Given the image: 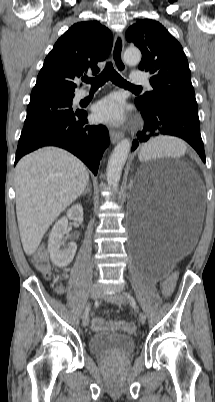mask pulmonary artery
Instances as JSON below:
<instances>
[{"instance_id": "1", "label": "pulmonary artery", "mask_w": 215, "mask_h": 402, "mask_svg": "<svg viewBox=\"0 0 215 402\" xmlns=\"http://www.w3.org/2000/svg\"><path fill=\"white\" fill-rule=\"evenodd\" d=\"M131 83H133V84H144V85H147V86L150 87L149 81H148L146 75L143 74L142 72L133 73L132 76H131ZM88 95H89V91L81 90V91L77 92V94L75 96V99L77 101H79V100L87 97Z\"/></svg>"}]
</instances>
